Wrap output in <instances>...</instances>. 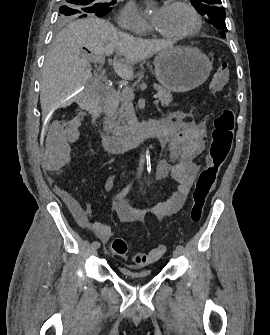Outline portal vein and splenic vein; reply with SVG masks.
<instances>
[{
	"mask_svg": "<svg viewBox=\"0 0 270 335\" xmlns=\"http://www.w3.org/2000/svg\"><path fill=\"white\" fill-rule=\"evenodd\" d=\"M104 58H105L104 53H100L98 55L97 61L101 63V65H104V62H103ZM121 91H124L126 93L128 101H133L134 99H137L136 92L130 86H125L124 88H121ZM156 98H158V96H156ZM157 102L159 101L153 100V103H157Z\"/></svg>",
	"mask_w": 270,
	"mask_h": 335,
	"instance_id": "portal-vein-and-splenic-vein-1",
	"label": "portal vein and splenic vein"
}]
</instances>
